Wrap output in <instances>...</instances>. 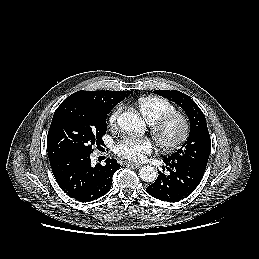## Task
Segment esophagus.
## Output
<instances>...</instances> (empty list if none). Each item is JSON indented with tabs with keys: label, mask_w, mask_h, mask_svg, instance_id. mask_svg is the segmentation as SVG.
Segmentation results:
<instances>
[{
	"label": "esophagus",
	"mask_w": 259,
	"mask_h": 259,
	"mask_svg": "<svg viewBox=\"0 0 259 259\" xmlns=\"http://www.w3.org/2000/svg\"><path fill=\"white\" fill-rule=\"evenodd\" d=\"M125 164L129 165V166H132L134 168H140L142 166L141 164L132 163V162H128V161H125Z\"/></svg>",
	"instance_id": "esophagus-1"
}]
</instances>
